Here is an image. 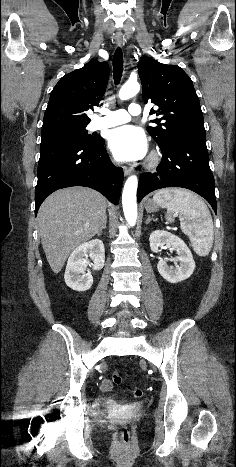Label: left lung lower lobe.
Instances as JSON below:
<instances>
[{"mask_svg":"<svg viewBox=\"0 0 236 467\" xmlns=\"http://www.w3.org/2000/svg\"><path fill=\"white\" fill-rule=\"evenodd\" d=\"M160 149L163 157L156 172L143 173L140 176L138 202L156 189L182 187L205 198L217 213L215 182L209 167L205 133L179 135Z\"/></svg>","mask_w":236,"mask_h":467,"instance_id":"left-lung-lower-lobe-1","label":"left lung lower lobe"}]
</instances>
